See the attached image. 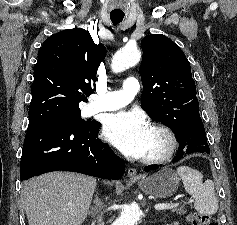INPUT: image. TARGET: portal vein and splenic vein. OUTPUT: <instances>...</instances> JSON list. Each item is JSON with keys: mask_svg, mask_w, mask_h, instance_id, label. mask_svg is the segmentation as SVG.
<instances>
[{"mask_svg": "<svg viewBox=\"0 0 237 225\" xmlns=\"http://www.w3.org/2000/svg\"><path fill=\"white\" fill-rule=\"evenodd\" d=\"M178 206V203H169V204H157L154 206L155 210H166L173 209Z\"/></svg>", "mask_w": 237, "mask_h": 225, "instance_id": "portal-vein-and-splenic-vein-1", "label": "portal vein and splenic vein"}]
</instances>
